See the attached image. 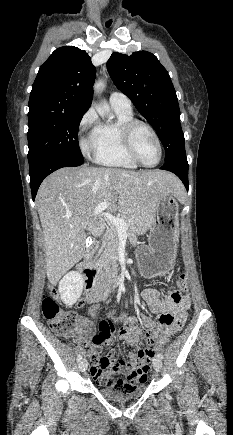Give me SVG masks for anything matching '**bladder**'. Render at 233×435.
Masks as SVG:
<instances>
[{
    "mask_svg": "<svg viewBox=\"0 0 233 435\" xmlns=\"http://www.w3.org/2000/svg\"><path fill=\"white\" fill-rule=\"evenodd\" d=\"M98 389L101 394L110 400L126 401L141 395L146 390V386L142 383L131 392H122L115 387L105 385H100Z\"/></svg>",
    "mask_w": 233,
    "mask_h": 435,
    "instance_id": "1",
    "label": "bladder"
}]
</instances>
